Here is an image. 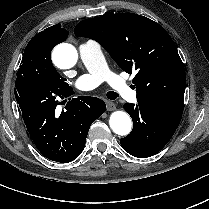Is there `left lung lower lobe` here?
<instances>
[{"label": "left lung lower lobe", "instance_id": "0a47b994", "mask_svg": "<svg viewBox=\"0 0 209 209\" xmlns=\"http://www.w3.org/2000/svg\"><path fill=\"white\" fill-rule=\"evenodd\" d=\"M123 108L133 120V130L120 140L123 149L137 158L159 152L175 133L182 115L172 114L145 103H125Z\"/></svg>", "mask_w": 209, "mask_h": 209}]
</instances>
